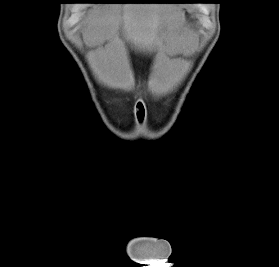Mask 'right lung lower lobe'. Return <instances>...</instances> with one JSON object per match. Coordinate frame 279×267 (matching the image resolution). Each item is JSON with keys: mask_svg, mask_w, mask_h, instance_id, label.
Here are the masks:
<instances>
[{"mask_svg": "<svg viewBox=\"0 0 279 267\" xmlns=\"http://www.w3.org/2000/svg\"><path fill=\"white\" fill-rule=\"evenodd\" d=\"M94 3H97V2H94ZM128 3H138V2H128Z\"/></svg>", "mask_w": 279, "mask_h": 267, "instance_id": "right-lung-lower-lobe-1", "label": "right lung lower lobe"}]
</instances>
